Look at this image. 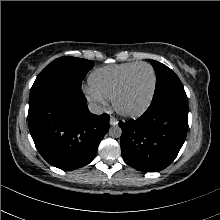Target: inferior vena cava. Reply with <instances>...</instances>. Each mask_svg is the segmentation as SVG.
<instances>
[{"instance_id":"1","label":"inferior vena cava","mask_w":220,"mask_h":220,"mask_svg":"<svg viewBox=\"0 0 220 220\" xmlns=\"http://www.w3.org/2000/svg\"><path fill=\"white\" fill-rule=\"evenodd\" d=\"M88 108L92 114L100 115L103 113V106L98 102H91L88 105Z\"/></svg>"}]
</instances>
